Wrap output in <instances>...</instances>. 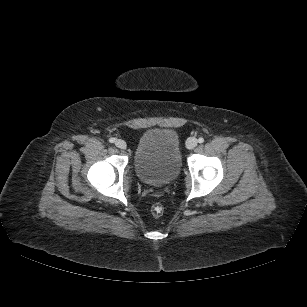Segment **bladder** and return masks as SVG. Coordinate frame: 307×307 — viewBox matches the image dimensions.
Returning <instances> with one entry per match:
<instances>
[{"mask_svg":"<svg viewBox=\"0 0 307 307\" xmlns=\"http://www.w3.org/2000/svg\"><path fill=\"white\" fill-rule=\"evenodd\" d=\"M133 164L138 178L151 186H165L181 170V154L176 132L154 128L144 132L136 145Z\"/></svg>","mask_w":307,"mask_h":307,"instance_id":"31cf9c89","label":"bladder"}]
</instances>
